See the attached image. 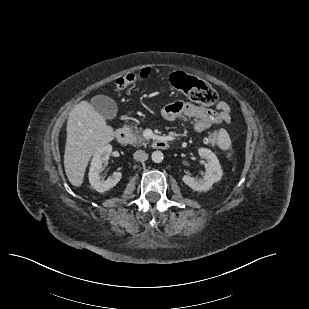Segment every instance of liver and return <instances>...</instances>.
Returning a JSON list of instances; mask_svg holds the SVG:
<instances>
[{"label": "liver", "instance_id": "liver-1", "mask_svg": "<svg viewBox=\"0 0 309 309\" xmlns=\"http://www.w3.org/2000/svg\"><path fill=\"white\" fill-rule=\"evenodd\" d=\"M115 132L91 104L82 101L69 113L64 154L65 172L70 183L80 187L90 158L114 140Z\"/></svg>", "mask_w": 309, "mask_h": 309}]
</instances>
